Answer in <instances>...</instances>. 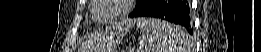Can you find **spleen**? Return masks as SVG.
I'll return each mask as SVG.
<instances>
[{
	"mask_svg": "<svg viewBox=\"0 0 261 52\" xmlns=\"http://www.w3.org/2000/svg\"><path fill=\"white\" fill-rule=\"evenodd\" d=\"M137 24L142 33L141 52H187L192 46L190 37L179 26L150 18L139 19Z\"/></svg>",
	"mask_w": 261,
	"mask_h": 52,
	"instance_id": "spleen-1",
	"label": "spleen"
}]
</instances>
